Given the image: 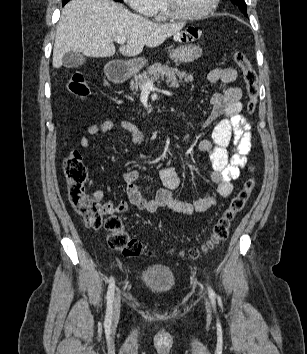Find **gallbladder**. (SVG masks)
<instances>
[{
	"instance_id": "bac80fb5",
	"label": "gallbladder",
	"mask_w": 307,
	"mask_h": 354,
	"mask_svg": "<svg viewBox=\"0 0 307 354\" xmlns=\"http://www.w3.org/2000/svg\"><path fill=\"white\" fill-rule=\"evenodd\" d=\"M85 57L77 52H68L63 56V66L67 68H77L85 63Z\"/></svg>"
}]
</instances>
